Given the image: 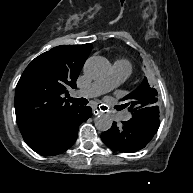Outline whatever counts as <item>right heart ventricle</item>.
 Returning a JSON list of instances; mask_svg holds the SVG:
<instances>
[{
	"mask_svg": "<svg viewBox=\"0 0 193 193\" xmlns=\"http://www.w3.org/2000/svg\"><path fill=\"white\" fill-rule=\"evenodd\" d=\"M119 61L122 62V63H125V64H127L128 66L131 67V64L128 61H126V60H119Z\"/></svg>",
	"mask_w": 193,
	"mask_h": 193,
	"instance_id": "e07e8e85",
	"label": "right heart ventricle"
}]
</instances>
